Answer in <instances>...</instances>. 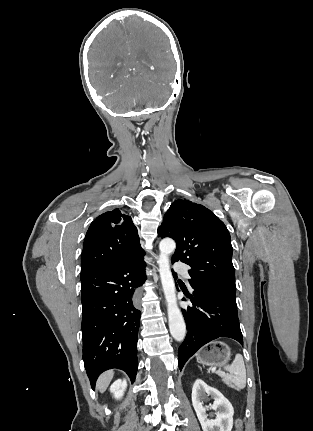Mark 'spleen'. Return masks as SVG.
<instances>
[{
	"label": "spleen",
	"mask_w": 313,
	"mask_h": 431,
	"mask_svg": "<svg viewBox=\"0 0 313 431\" xmlns=\"http://www.w3.org/2000/svg\"><path fill=\"white\" fill-rule=\"evenodd\" d=\"M224 371L218 370L215 371L224 381L233 382L238 389H243L246 386V369L244 360L241 354H236L235 359L233 360L231 365L225 367Z\"/></svg>",
	"instance_id": "1"
}]
</instances>
